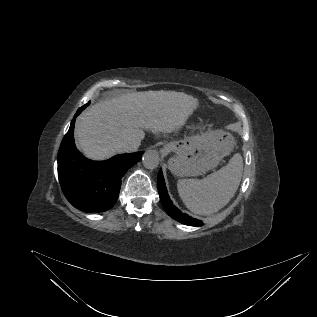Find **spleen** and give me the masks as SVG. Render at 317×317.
<instances>
[{"instance_id": "spleen-1", "label": "spleen", "mask_w": 317, "mask_h": 317, "mask_svg": "<svg viewBox=\"0 0 317 317\" xmlns=\"http://www.w3.org/2000/svg\"><path fill=\"white\" fill-rule=\"evenodd\" d=\"M243 172V159L236 153L229 163L204 179H179L178 193L195 214L210 215L223 208L235 195Z\"/></svg>"}]
</instances>
